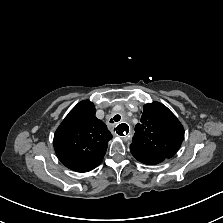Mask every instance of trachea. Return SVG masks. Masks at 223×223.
I'll list each match as a JSON object with an SVG mask.
<instances>
[{
  "instance_id": "1",
  "label": "trachea",
  "mask_w": 223,
  "mask_h": 223,
  "mask_svg": "<svg viewBox=\"0 0 223 223\" xmlns=\"http://www.w3.org/2000/svg\"><path fill=\"white\" fill-rule=\"evenodd\" d=\"M120 119H121V116L117 114V115L114 116L113 119L110 120V123H114V121L118 122V121H120Z\"/></svg>"
}]
</instances>
